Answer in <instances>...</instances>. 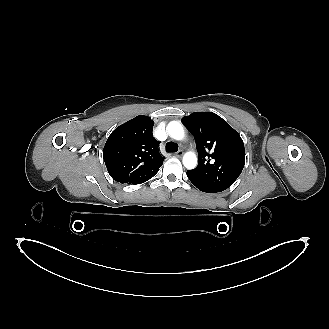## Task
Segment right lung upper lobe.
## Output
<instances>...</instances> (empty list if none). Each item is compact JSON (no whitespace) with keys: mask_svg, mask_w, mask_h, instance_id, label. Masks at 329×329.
<instances>
[{"mask_svg":"<svg viewBox=\"0 0 329 329\" xmlns=\"http://www.w3.org/2000/svg\"><path fill=\"white\" fill-rule=\"evenodd\" d=\"M154 122L137 116L117 127L103 150L105 165L119 183L139 184L152 178L163 164L159 143L152 136Z\"/></svg>","mask_w":329,"mask_h":329,"instance_id":"cb5924a9","label":"right lung upper lobe"}]
</instances>
